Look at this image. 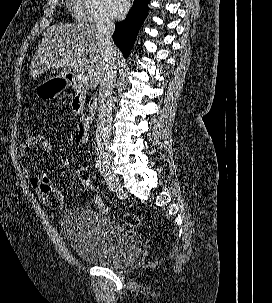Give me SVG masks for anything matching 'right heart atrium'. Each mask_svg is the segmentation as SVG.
<instances>
[{
    "label": "right heart atrium",
    "instance_id": "1",
    "mask_svg": "<svg viewBox=\"0 0 272 303\" xmlns=\"http://www.w3.org/2000/svg\"><path fill=\"white\" fill-rule=\"evenodd\" d=\"M84 17L87 21L96 23L111 22V14L108 0H81Z\"/></svg>",
    "mask_w": 272,
    "mask_h": 303
}]
</instances>
